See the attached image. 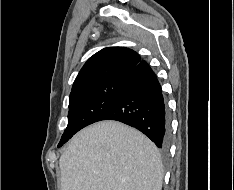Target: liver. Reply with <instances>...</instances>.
Here are the masks:
<instances>
[{"label": "liver", "mask_w": 234, "mask_h": 190, "mask_svg": "<svg viewBox=\"0 0 234 190\" xmlns=\"http://www.w3.org/2000/svg\"><path fill=\"white\" fill-rule=\"evenodd\" d=\"M59 166L61 190H161L164 177L155 144L117 121L78 132Z\"/></svg>", "instance_id": "liver-1"}]
</instances>
